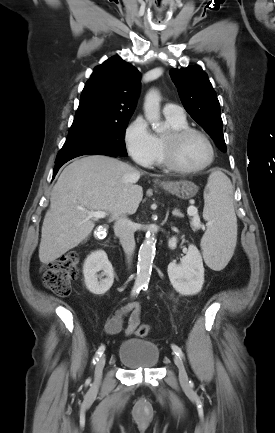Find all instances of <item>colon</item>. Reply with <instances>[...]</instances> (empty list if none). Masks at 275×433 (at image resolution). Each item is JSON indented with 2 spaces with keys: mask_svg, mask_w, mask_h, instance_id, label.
<instances>
[{
  "mask_svg": "<svg viewBox=\"0 0 275 433\" xmlns=\"http://www.w3.org/2000/svg\"><path fill=\"white\" fill-rule=\"evenodd\" d=\"M79 254L72 250L63 254L59 259L49 263L43 274V283L46 288L60 297H66L71 292L73 281L78 275ZM149 325L139 323L136 335L145 337L149 334Z\"/></svg>",
  "mask_w": 275,
  "mask_h": 433,
  "instance_id": "5ec220e1",
  "label": "colon"
}]
</instances>
